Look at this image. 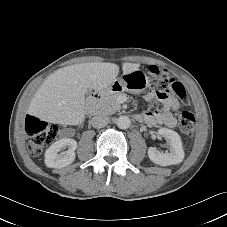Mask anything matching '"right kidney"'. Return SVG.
<instances>
[{"mask_svg":"<svg viewBox=\"0 0 227 227\" xmlns=\"http://www.w3.org/2000/svg\"><path fill=\"white\" fill-rule=\"evenodd\" d=\"M66 147H68L67 151L60 152ZM76 149H77V142L71 138H62L54 142L45 151L46 166L49 168H62L70 165L75 159Z\"/></svg>","mask_w":227,"mask_h":227,"instance_id":"right-kidney-1","label":"right kidney"}]
</instances>
